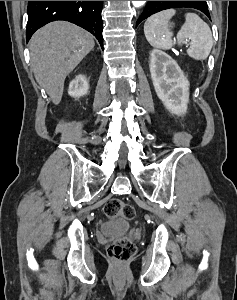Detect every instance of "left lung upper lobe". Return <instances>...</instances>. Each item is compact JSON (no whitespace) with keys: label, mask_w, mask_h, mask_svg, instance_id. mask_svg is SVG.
I'll return each instance as SVG.
<instances>
[{"label":"left lung upper lobe","mask_w":237,"mask_h":300,"mask_svg":"<svg viewBox=\"0 0 237 300\" xmlns=\"http://www.w3.org/2000/svg\"><path fill=\"white\" fill-rule=\"evenodd\" d=\"M195 8L202 11L209 19L210 13L206 1H148L143 13L136 22L138 25L142 20L159 11L170 8Z\"/></svg>","instance_id":"5c2ea615"}]
</instances>
